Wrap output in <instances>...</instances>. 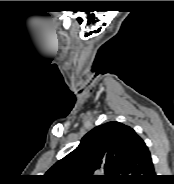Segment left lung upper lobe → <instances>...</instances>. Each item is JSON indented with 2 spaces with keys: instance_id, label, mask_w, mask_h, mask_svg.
I'll return each mask as SVG.
<instances>
[{
  "instance_id": "left-lung-upper-lobe-1",
  "label": "left lung upper lobe",
  "mask_w": 174,
  "mask_h": 184,
  "mask_svg": "<svg viewBox=\"0 0 174 184\" xmlns=\"http://www.w3.org/2000/svg\"><path fill=\"white\" fill-rule=\"evenodd\" d=\"M140 140L131 127L120 122L101 124L46 174L54 184L120 183Z\"/></svg>"
}]
</instances>
